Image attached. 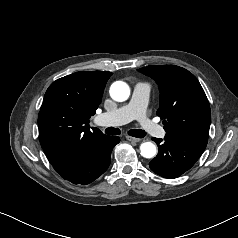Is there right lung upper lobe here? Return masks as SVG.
Returning <instances> with one entry per match:
<instances>
[{
	"mask_svg": "<svg viewBox=\"0 0 238 238\" xmlns=\"http://www.w3.org/2000/svg\"><path fill=\"white\" fill-rule=\"evenodd\" d=\"M108 71H81L54 81L38 115L41 146L51 163L69 159L87 140L103 135L89 119L102 100Z\"/></svg>",
	"mask_w": 238,
	"mask_h": 238,
	"instance_id": "right-lung-upper-lobe-1",
	"label": "right lung upper lobe"
}]
</instances>
